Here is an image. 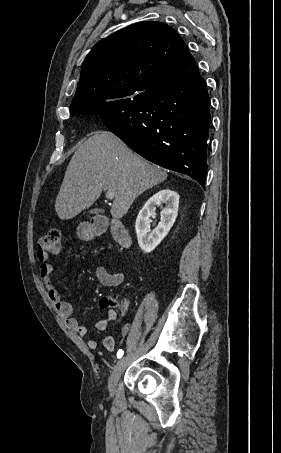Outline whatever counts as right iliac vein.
I'll list each match as a JSON object with an SVG mask.
<instances>
[{"mask_svg": "<svg viewBox=\"0 0 281 453\" xmlns=\"http://www.w3.org/2000/svg\"><path fill=\"white\" fill-rule=\"evenodd\" d=\"M117 363H118V365L116 366V369H114L113 374L108 379V382H109L108 383L109 384L108 391L110 393H113L115 391V389L117 387L116 386V384H117L116 382H117V380L119 378L118 376H121L122 372L125 371L124 359L120 358Z\"/></svg>", "mask_w": 281, "mask_h": 453, "instance_id": "1", "label": "right iliac vein"}]
</instances>
